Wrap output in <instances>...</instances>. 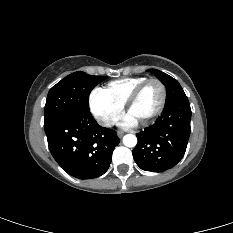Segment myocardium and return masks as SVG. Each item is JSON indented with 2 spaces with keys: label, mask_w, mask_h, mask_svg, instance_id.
<instances>
[{
  "label": "myocardium",
  "mask_w": 233,
  "mask_h": 233,
  "mask_svg": "<svg viewBox=\"0 0 233 233\" xmlns=\"http://www.w3.org/2000/svg\"><path fill=\"white\" fill-rule=\"evenodd\" d=\"M150 83H157L160 86V88H161V101H160V104H159L157 110L149 118L138 122L139 125H141V126H147V125L152 124L162 114V112L165 108L166 98H167V90H166L164 83L161 80L156 79V78H151V79L145 80L144 82L139 84L133 90V92L130 94V96L128 97V99L125 103V111L127 114H129L131 107L137 101V99L140 96L143 89Z\"/></svg>",
  "instance_id": "1"
}]
</instances>
